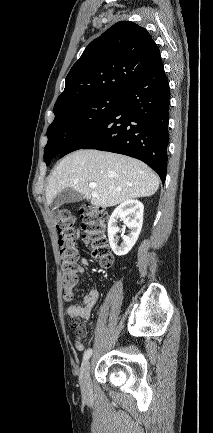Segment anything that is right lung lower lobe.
I'll return each mask as SVG.
<instances>
[{
	"label": "right lung lower lobe",
	"instance_id": "obj_1",
	"mask_svg": "<svg viewBox=\"0 0 213 433\" xmlns=\"http://www.w3.org/2000/svg\"><path fill=\"white\" fill-rule=\"evenodd\" d=\"M169 83L161 57L127 89L113 111L60 153L97 149L137 158L165 182L169 143Z\"/></svg>",
	"mask_w": 213,
	"mask_h": 433
}]
</instances>
